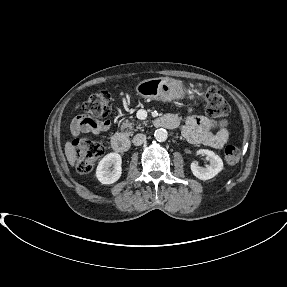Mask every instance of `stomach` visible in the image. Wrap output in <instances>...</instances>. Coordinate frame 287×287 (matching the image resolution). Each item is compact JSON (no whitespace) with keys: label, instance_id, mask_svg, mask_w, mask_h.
Here are the masks:
<instances>
[{"label":"stomach","instance_id":"stomach-1","mask_svg":"<svg viewBox=\"0 0 287 287\" xmlns=\"http://www.w3.org/2000/svg\"><path fill=\"white\" fill-rule=\"evenodd\" d=\"M136 93L144 99L171 102L182 99L186 91L182 84L169 78H152L140 82L136 86Z\"/></svg>","mask_w":287,"mask_h":287}]
</instances>
